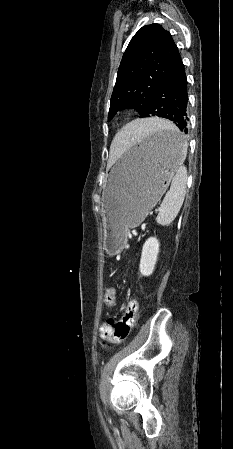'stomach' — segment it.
Listing matches in <instances>:
<instances>
[{
	"mask_svg": "<svg viewBox=\"0 0 233 449\" xmlns=\"http://www.w3.org/2000/svg\"><path fill=\"white\" fill-rule=\"evenodd\" d=\"M181 136L177 129L152 133L110 170L103 188L104 247L110 255L120 251L126 230L141 224L166 191L184 158Z\"/></svg>",
	"mask_w": 233,
	"mask_h": 449,
	"instance_id": "0dacf381",
	"label": "stomach"
}]
</instances>
